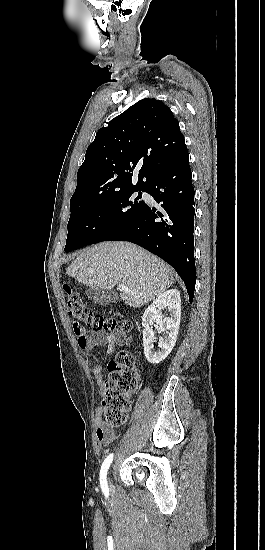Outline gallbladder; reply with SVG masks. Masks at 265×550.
I'll use <instances>...</instances> for the list:
<instances>
[{
	"label": "gallbladder",
	"mask_w": 265,
	"mask_h": 550,
	"mask_svg": "<svg viewBox=\"0 0 265 550\" xmlns=\"http://www.w3.org/2000/svg\"><path fill=\"white\" fill-rule=\"evenodd\" d=\"M85 294L90 300L98 305H105L109 302H116L118 300V296L116 294L110 292L109 290L97 287H88L85 290Z\"/></svg>",
	"instance_id": "obj_1"
}]
</instances>
